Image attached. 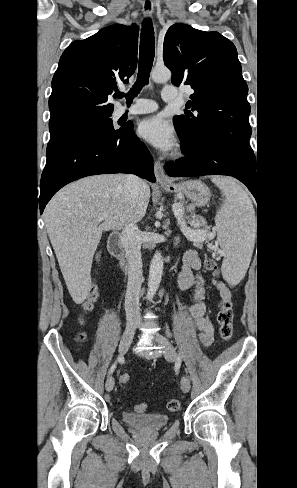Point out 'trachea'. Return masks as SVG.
<instances>
[{"mask_svg":"<svg viewBox=\"0 0 297 488\" xmlns=\"http://www.w3.org/2000/svg\"><path fill=\"white\" fill-rule=\"evenodd\" d=\"M140 51H139V70L137 80L126 95L127 103H132L142 90L145 84H148L153 60L155 56V41H154V29L153 24L149 18H146L143 22L140 37ZM123 93L116 94L117 98H122Z\"/></svg>","mask_w":297,"mask_h":488,"instance_id":"3493384b","label":"trachea"}]
</instances>
